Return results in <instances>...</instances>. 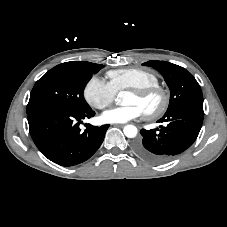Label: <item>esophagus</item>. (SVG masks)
Returning a JSON list of instances; mask_svg holds the SVG:
<instances>
[{"instance_id": "34e87169", "label": "esophagus", "mask_w": 227, "mask_h": 227, "mask_svg": "<svg viewBox=\"0 0 227 227\" xmlns=\"http://www.w3.org/2000/svg\"><path fill=\"white\" fill-rule=\"evenodd\" d=\"M114 126H116V127H123L124 124H114Z\"/></svg>"}]
</instances>
